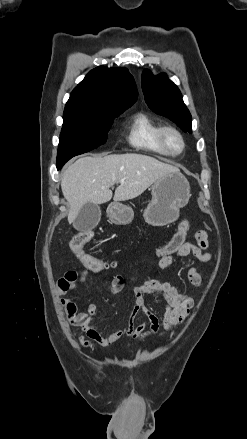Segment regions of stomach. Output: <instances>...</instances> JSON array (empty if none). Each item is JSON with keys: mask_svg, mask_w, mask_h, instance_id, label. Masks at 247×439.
<instances>
[{"mask_svg": "<svg viewBox=\"0 0 247 439\" xmlns=\"http://www.w3.org/2000/svg\"><path fill=\"white\" fill-rule=\"evenodd\" d=\"M152 200L144 210L145 221L153 226L174 222L180 208L186 206L191 196L188 180L180 172L169 173L152 185ZM107 215L116 225L130 224L134 218L131 207L114 202L107 208Z\"/></svg>", "mask_w": 247, "mask_h": 439, "instance_id": "0dacf381", "label": "stomach"}]
</instances>
